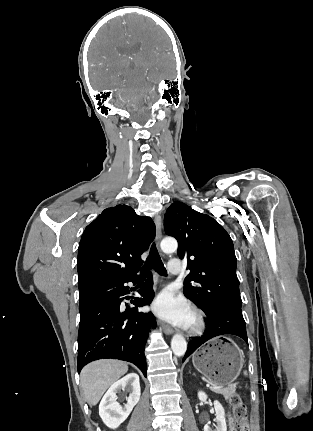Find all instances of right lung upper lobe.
<instances>
[{
    "instance_id": "right-lung-upper-lobe-1",
    "label": "right lung upper lobe",
    "mask_w": 313,
    "mask_h": 431,
    "mask_svg": "<svg viewBox=\"0 0 313 431\" xmlns=\"http://www.w3.org/2000/svg\"><path fill=\"white\" fill-rule=\"evenodd\" d=\"M155 237L150 217L127 205L105 209L82 234L78 248V284L135 276L141 254Z\"/></svg>"
}]
</instances>
